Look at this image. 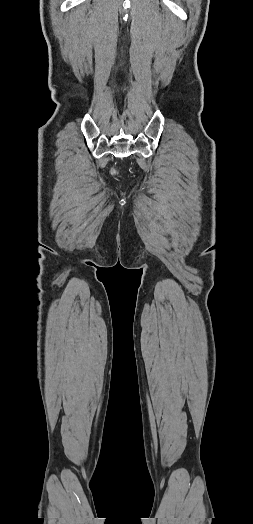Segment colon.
Listing matches in <instances>:
<instances>
[{"label": "colon", "instance_id": "colon-1", "mask_svg": "<svg viewBox=\"0 0 253 524\" xmlns=\"http://www.w3.org/2000/svg\"><path fill=\"white\" fill-rule=\"evenodd\" d=\"M112 174H117V171L116 170H112Z\"/></svg>", "mask_w": 253, "mask_h": 524}]
</instances>
